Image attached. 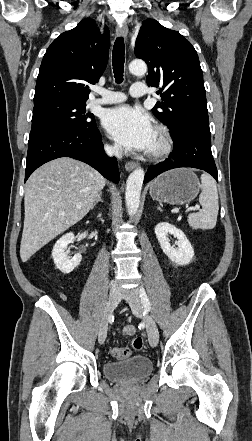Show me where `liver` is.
<instances>
[{"mask_svg":"<svg viewBox=\"0 0 252 441\" xmlns=\"http://www.w3.org/2000/svg\"><path fill=\"white\" fill-rule=\"evenodd\" d=\"M105 183L98 171L69 157L52 160L34 171L25 186L21 260L26 262L82 220Z\"/></svg>","mask_w":252,"mask_h":441,"instance_id":"obj_1","label":"liver"}]
</instances>
